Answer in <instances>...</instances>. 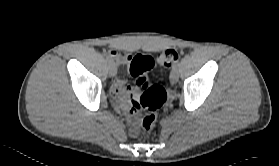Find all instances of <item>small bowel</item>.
<instances>
[{
	"label": "small bowel",
	"instance_id": "obj_1",
	"mask_svg": "<svg viewBox=\"0 0 279 166\" xmlns=\"http://www.w3.org/2000/svg\"><path fill=\"white\" fill-rule=\"evenodd\" d=\"M111 58H114L118 65L130 66L132 56L126 53H119L115 50L110 51ZM111 95L115 102L128 111L131 117L134 113L141 111V104L136 101V88L131 85H126L125 81L121 78H116L111 86ZM131 99V103L127 101ZM132 135H135L136 129L131 130Z\"/></svg>",
	"mask_w": 279,
	"mask_h": 166
}]
</instances>
